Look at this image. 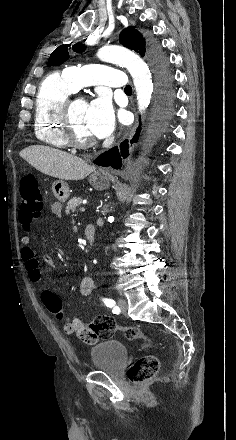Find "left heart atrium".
I'll return each instance as SVG.
<instances>
[{
	"label": "left heart atrium",
	"mask_w": 236,
	"mask_h": 440,
	"mask_svg": "<svg viewBox=\"0 0 236 440\" xmlns=\"http://www.w3.org/2000/svg\"><path fill=\"white\" fill-rule=\"evenodd\" d=\"M86 122L94 137L104 138L112 133L115 116L107 96L101 95L87 105Z\"/></svg>",
	"instance_id": "39dd6f15"
}]
</instances>
